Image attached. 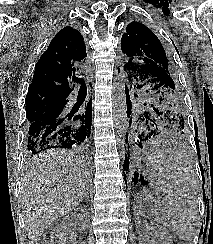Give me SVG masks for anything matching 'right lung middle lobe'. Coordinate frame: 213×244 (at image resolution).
<instances>
[{"label":"right lung middle lobe","instance_id":"obj_1","mask_svg":"<svg viewBox=\"0 0 213 244\" xmlns=\"http://www.w3.org/2000/svg\"><path fill=\"white\" fill-rule=\"evenodd\" d=\"M65 101V98L53 95L43 94L33 97H26V117L28 124L41 116L45 110L55 104Z\"/></svg>","mask_w":213,"mask_h":244}]
</instances>
